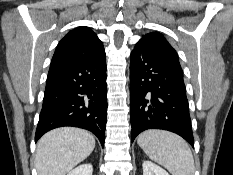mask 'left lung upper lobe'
I'll return each instance as SVG.
<instances>
[{
    "label": "left lung upper lobe",
    "instance_id": "left-lung-upper-lobe-1",
    "mask_svg": "<svg viewBox=\"0 0 233 175\" xmlns=\"http://www.w3.org/2000/svg\"><path fill=\"white\" fill-rule=\"evenodd\" d=\"M158 57L180 66L178 55L169 42L158 32L148 33L137 42ZM181 67V66H180Z\"/></svg>",
    "mask_w": 233,
    "mask_h": 175
}]
</instances>
